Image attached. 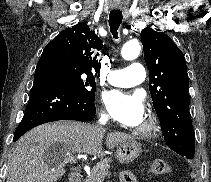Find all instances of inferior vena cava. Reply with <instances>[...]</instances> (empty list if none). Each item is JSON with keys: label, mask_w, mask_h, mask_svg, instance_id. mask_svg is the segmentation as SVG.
Here are the masks:
<instances>
[{"label": "inferior vena cava", "mask_w": 211, "mask_h": 182, "mask_svg": "<svg viewBox=\"0 0 211 182\" xmlns=\"http://www.w3.org/2000/svg\"><path fill=\"white\" fill-rule=\"evenodd\" d=\"M104 119H105V116L102 115L100 121H101V120H104ZM98 130H99V131H104V130H105V127H104V126H99V127H98Z\"/></svg>", "instance_id": "1"}]
</instances>
